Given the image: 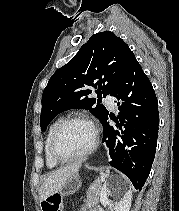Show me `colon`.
<instances>
[{"label": "colon", "mask_w": 179, "mask_h": 211, "mask_svg": "<svg viewBox=\"0 0 179 211\" xmlns=\"http://www.w3.org/2000/svg\"><path fill=\"white\" fill-rule=\"evenodd\" d=\"M43 211H62V198L58 194L47 197L42 203Z\"/></svg>", "instance_id": "1"}]
</instances>
